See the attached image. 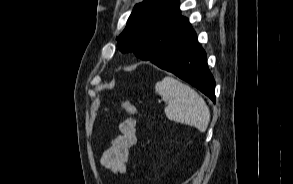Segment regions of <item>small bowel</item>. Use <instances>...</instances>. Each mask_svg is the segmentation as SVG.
Returning <instances> with one entry per match:
<instances>
[{
  "label": "small bowel",
  "instance_id": "small-bowel-1",
  "mask_svg": "<svg viewBox=\"0 0 293 184\" xmlns=\"http://www.w3.org/2000/svg\"><path fill=\"white\" fill-rule=\"evenodd\" d=\"M136 120L126 118L119 124V135L104 151L101 157V165L114 174H122L126 171L131 148L137 142Z\"/></svg>",
  "mask_w": 293,
  "mask_h": 184
}]
</instances>
